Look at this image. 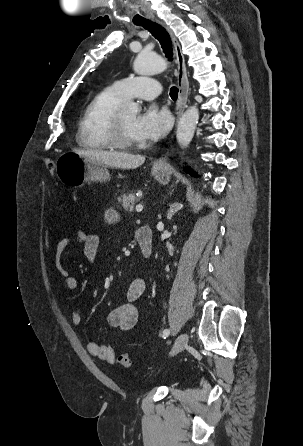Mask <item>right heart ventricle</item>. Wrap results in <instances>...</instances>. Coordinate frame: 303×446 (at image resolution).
Here are the masks:
<instances>
[{"instance_id": "e07e8e85", "label": "right heart ventricle", "mask_w": 303, "mask_h": 446, "mask_svg": "<svg viewBox=\"0 0 303 446\" xmlns=\"http://www.w3.org/2000/svg\"><path fill=\"white\" fill-rule=\"evenodd\" d=\"M124 99L113 86L101 90L87 105L78 124L76 141L89 150L112 148L110 124Z\"/></svg>"}]
</instances>
